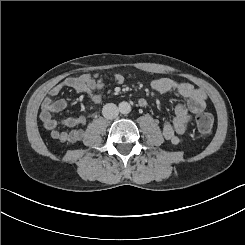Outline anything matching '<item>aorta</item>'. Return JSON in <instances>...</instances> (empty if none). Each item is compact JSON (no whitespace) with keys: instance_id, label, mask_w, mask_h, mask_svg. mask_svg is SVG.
<instances>
[{"instance_id":"762f6f07","label":"aorta","mask_w":245,"mask_h":245,"mask_svg":"<svg viewBox=\"0 0 245 245\" xmlns=\"http://www.w3.org/2000/svg\"><path fill=\"white\" fill-rule=\"evenodd\" d=\"M118 109L122 114H128L131 111V106L128 102L123 101L119 104Z\"/></svg>"}]
</instances>
